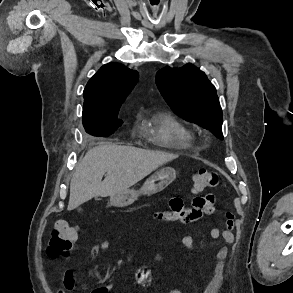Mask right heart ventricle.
<instances>
[{"instance_id":"right-heart-ventricle-1","label":"right heart ventricle","mask_w":293,"mask_h":293,"mask_svg":"<svg viewBox=\"0 0 293 293\" xmlns=\"http://www.w3.org/2000/svg\"><path fill=\"white\" fill-rule=\"evenodd\" d=\"M147 132L156 144L167 148H187L194 141L192 129L170 113L155 115L147 126Z\"/></svg>"}]
</instances>
